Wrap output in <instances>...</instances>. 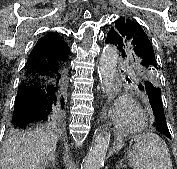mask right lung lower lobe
Instances as JSON below:
<instances>
[{"instance_id":"right-lung-lower-lobe-1","label":"right lung lower lobe","mask_w":177,"mask_h":169,"mask_svg":"<svg viewBox=\"0 0 177 169\" xmlns=\"http://www.w3.org/2000/svg\"><path fill=\"white\" fill-rule=\"evenodd\" d=\"M67 60L48 59L31 53L18 87L12 126L36 122L55 126L65 120L67 110Z\"/></svg>"}]
</instances>
